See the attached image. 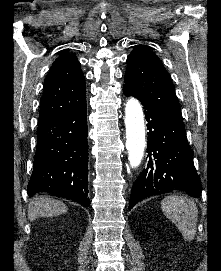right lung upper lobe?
I'll return each mask as SVG.
<instances>
[{
  "mask_svg": "<svg viewBox=\"0 0 221 271\" xmlns=\"http://www.w3.org/2000/svg\"><path fill=\"white\" fill-rule=\"evenodd\" d=\"M85 104V78L80 62L65 50L53 62L45 79L39 121L79 109Z\"/></svg>",
  "mask_w": 221,
  "mask_h": 271,
  "instance_id": "cb5924a9",
  "label": "right lung upper lobe"
}]
</instances>
